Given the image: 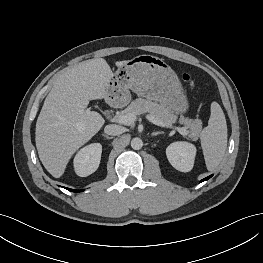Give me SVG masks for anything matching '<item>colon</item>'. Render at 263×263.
Segmentation results:
<instances>
[{
  "label": "colon",
  "instance_id": "colon-1",
  "mask_svg": "<svg viewBox=\"0 0 263 263\" xmlns=\"http://www.w3.org/2000/svg\"><path fill=\"white\" fill-rule=\"evenodd\" d=\"M182 78H183V80H184L187 84H189V85L192 86V87L194 86V81H193L191 75H189V74H187V73H184V74L182 75Z\"/></svg>",
  "mask_w": 263,
  "mask_h": 263
}]
</instances>
